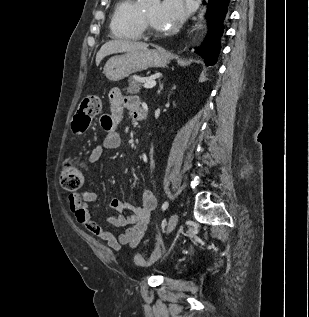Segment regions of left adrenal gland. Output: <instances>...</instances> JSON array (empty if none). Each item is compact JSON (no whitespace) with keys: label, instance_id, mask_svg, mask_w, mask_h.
I'll list each match as a JSON object with an SVG mask.
<instances>
[{"label":"left adrenal gland","instance_id":"1","mask_svg":"<svg viewBox=\"0 0 309 317\" xmlns=\"http://www.w3.org/2000/svg\"><path fill=\"white\" fill-rule=\"evenodd\" d=\"M163 86H164V83H161V84H160V88H159V90H158V94H160V92L162 91Z\"/></svg>","mask_w":309,"mask_h":317}]
</instances>
